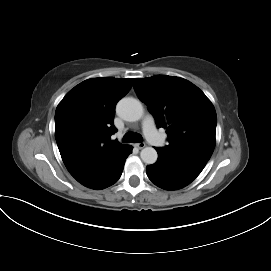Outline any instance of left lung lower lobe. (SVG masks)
<instances>
[{"mask_svg": "<svg viewBox=\"0 0 271 271\" xmlns=\"http://www.w3.org/2000/svg\"><path fill=\"white\" fill-rule=\"evenodd\" d=\"M155 149L158 152V160L146 167V173L155 185L166 190H177L187 186L207 163L190 156L169 153L164 148Z\"/></svg>", "mask_w": 271, "mask_h": 271, "instance_id": "left-lung-lower-lobe-1", "label": "left lung lower lobe"}]
</instances>
